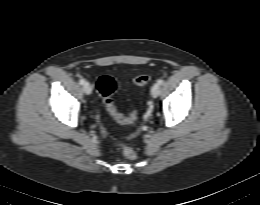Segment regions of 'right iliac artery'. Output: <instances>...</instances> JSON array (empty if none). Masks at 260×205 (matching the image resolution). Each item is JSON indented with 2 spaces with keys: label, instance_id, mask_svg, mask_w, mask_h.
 Listing matches in <instances>:
<instances>
[{
  "label": "right iliac artery",
  "instance_id": "obj_1",
  "mask_svg": "<svg viewBox=\"0 0 260 205\" xmlns=\"http://www.w3.org/2000/svg\"><path fill=\"white\" fill-rule=\"evenodd\" d=\"M79 83H80L81 85H84V84L86 83V81H85L83 78H81V79L79 80Z\"/></svg>",
  "mask_w": 260,
  "mask_h": 205
}]
</instances>
